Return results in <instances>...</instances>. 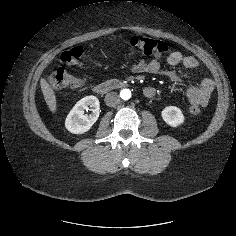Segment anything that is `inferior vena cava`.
Segmentation results:
<instances>
[{
  "label": "inferior vena cava",
  "mask_w": 236,
  "mask_h": 236,
  "mask_svg": "<svg viewBox=\"0 0 236 236\" xmlns=\"http://www.w3.org/2000/svg\"><path fill=\"white\" fill-rule=\"evenodd\" d=\"M120 102L119 95L116 92H110L105 96L107 106L114 107Z\"/></svg>",
  "instance_id": "1"
}]
</instances>
